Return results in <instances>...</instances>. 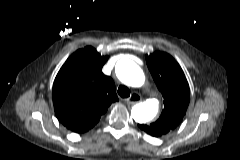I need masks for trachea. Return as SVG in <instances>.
Masks as SVG:
<instances>
[{
	"instance_id": "trachea-1",
	"label": "trachea",
	"mask_w": 240,
	"mask_h": 160,
	"mask_svg": "<svg viewBox=\"0 0 240 160\" xmlns=\"http://www.w3.org/2000/svg\"><path fill=\"white\" fill-rule=\"evenodd\" d=\"M118 94L120 95V97L122 98H128L130 96V90L128 87L121 85L118 88Z\"/></svg>"
}]
</instances>
